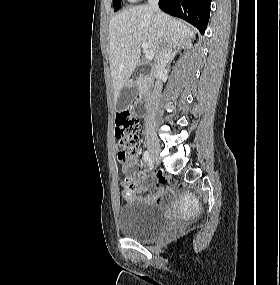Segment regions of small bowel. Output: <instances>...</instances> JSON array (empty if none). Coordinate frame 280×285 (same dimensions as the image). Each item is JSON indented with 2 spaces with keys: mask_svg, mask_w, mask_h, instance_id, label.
I'll list each match as a JSON object with an SVG mask.
<instances>
[{
  "mask_svg": "<svg viewBox=\"0 0 280 285\" xmlns=\"http://www.w3.org/2000/svg\"><path fill=\"white\" fill-rule=\"evenodd\" d=\"M139 161L136 157H131L124 162L123 171H134L139 173ZM154 183L147 177H134L130 185L125 186L127 198H137L149 203H161L163 201V189L157 185V191L154 194H146L148 187Z\"/></svg>",
  "mask_w": 280,
  "mask_h": 285,
  "instance_id": "1",
  "label": "small bowel"
}]
</instances>
